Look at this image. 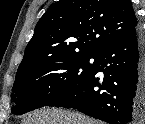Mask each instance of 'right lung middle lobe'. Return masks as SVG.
I'll list each match as a JSON object with an SVG mask.
<instances>
[{
  "instance_id": "right-lung-middle-lobe-1",
  "label": "right lung middle lobe",
  "mask_w": 145,
  "mask_h": 124,
  "mask_svg": "<svg viewBox=\"0 0 145 124\" xmlns=\"http://www.w3.org/2000/svg\"><path fill=\"white\" fill-rule=\"evenodd\" d=\"M97 55H70L42 62L16 77L11 94L15 102L12 113L24 114L41 108L74 87L93 70Z\"/></svg>"
}]
</instances>
